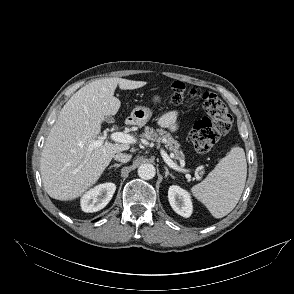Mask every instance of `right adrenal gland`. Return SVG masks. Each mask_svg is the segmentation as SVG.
Listing matches in <instances>:
<instances>
[{
    "label": "right adrenal gland",
    "mask_w": 294,
    "mask_h": 294,
    "mask_svg": "<svg viewBox=\"0 0 294 294\" xmlns=\"http://www.w3.org/2000/svg\"><path fill=\"white\" fill-rule=\"evenodd\" d=\"M122 165V163H120V164H114V165H111L110 167H109V169H112V168H118V167H120Z\"/></svg>",
    "instance_id": "1"
}]
</instances>
